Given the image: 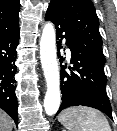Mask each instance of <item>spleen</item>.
<instances>
[{"instance_id": "3e777b00", "label": "spleen", "mask_w": 117, "mask_h": 131, "mask_svg": "<svg viewBox=\"0 0 117 131\" xmlns=\"http://www.w3.org/2000/svg\"><path fill=\"white\" fill-rule=\"evenodd\" d=\"M68 131H111L107 118L100 111L85 107H70L58 117Z\"/></svg>"}]
</instances>
